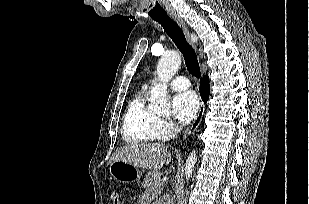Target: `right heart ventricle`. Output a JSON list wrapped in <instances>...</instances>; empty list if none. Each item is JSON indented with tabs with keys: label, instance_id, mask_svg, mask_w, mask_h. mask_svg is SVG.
Returning a JSON list of instances; mask_svg holds the SVG:
<instances>
[{
	"label": "right heart ventricle",
	"instance_id": "right-heart-ventricle-1",
	"mask_svg": "<svg viewBox=\"0 0 309 204\" xmlns=\"http://www.w3.org/2000/svg\"><path fill=\"white\" fill-rule=\"evenodd\" d=\"M158 116L145 104L143 96L135 97L129 104L122 124V137L126 142H148L156 138Z\"/></svg>",
	"mask_w": 309,
	"mask_h": 204
}]
</instances>
